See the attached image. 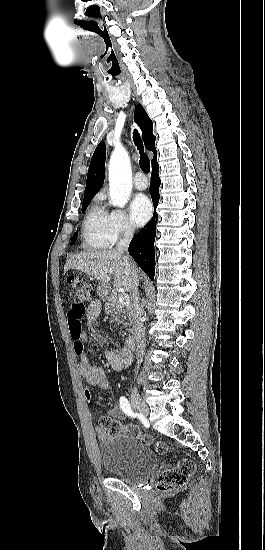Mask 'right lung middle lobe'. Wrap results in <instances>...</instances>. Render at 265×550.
<instances>
[{"mask_svg":"<svg viewBox=\"0 0 265 550\" xmlns=\"http://www.w3.org/2000/svg\"><path fill=\"white\" fill-rule=\"evenodd\" d=\"M92 198H89V199H84L83 200V203H82V212H84L89 204V202L91 201ZM76 237H77V234L75 233L72 237V240H71V244L74 243V241L76 240Z\"/></svg>","mask_w":265,"mask_h":550,"instance_id":"right-lung-middle-lobe-1","label":"right lung middle lobe"}]
</instances>
